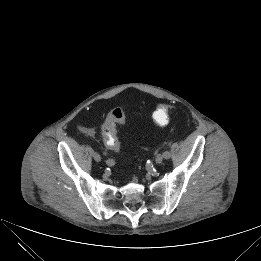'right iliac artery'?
<instances>
[{
  "mask_svg": "<svg viewBox=\"0 0 261 261\" xmlns=\"http://www.w3.org/2000/svg\"><path fill=\"white\" fill-rule=\"evenodd\" d=\"M105 162H106V164L109 165V166H112V165H114V163H115V161H114L113 159H111V158L105 159Z\"/></svg>",
  "mask_w": 261,
  "mask_h": 261,
  "instance_id": "82829eb1",
  "label": "right iliac artery"
}]
</instances>
